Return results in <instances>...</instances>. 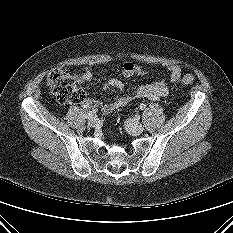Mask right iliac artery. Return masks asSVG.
I'll return each instance as SVG.
<instances>
[{
    "label": "right iliac artery",
    "instance_id": "1",
    "mask_svg": "<svg viewBox=\"0 0 233 233\" xmlns=\"http://www.w3.org/2000/svg\"><path fill=\"white\" fill-rule=\"evenodd\" d=\"M95 113H96V110H91V111L87 112L86 118H87V119L92 118V117L94 116Z\"/></svg>",
    "mask_w": 233,
    "mask_h": 233
}]
</instances>
